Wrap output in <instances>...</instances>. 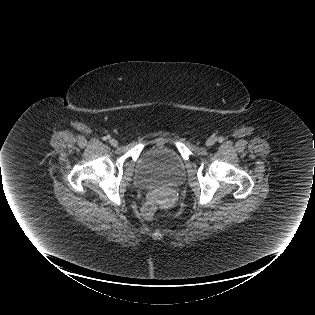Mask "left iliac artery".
Instances as JSON below:
<instances>
[{
  "label": "left iliac artery",
  "instance_id": "left-iliac-artery-1",
  "mask_svg": "<svg viewBox=\"0 0 315 315\" xmlns=\"http://www.w3.org/2000/svg\"><path fill=\"white\" fill-rule=\"evenodd\" d=\"M219 141H220V142H222V141H223V138H222V137H220V138H219Z\"/></svg>",
  "mask_w": 315,
  "mask_h": 315
}]
</instances>
